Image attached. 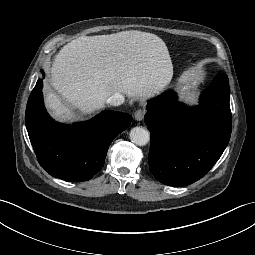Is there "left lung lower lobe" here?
Wrapping results in <instances>:
<instances>
[{
    "mask_svg": "<svg viewBox=\"0 0 255 255\" xmlns=\"http://www.w3.org/2000/svg\"><path fill=\"white\" fill-rule=\"evenodd\" d=\"M229 80L218 75L195 108L167 91L152 99L144 117L151 133L148 163L161 183L185 186L202 178L217 162L231 135Z\"/></svg>",
    "mask_w": 255,
    "mask_h": 255,
    "instance_id": "left-lung-lower-lobe-1",
    "label": "left lung lower lobe"
}]
</instances>
